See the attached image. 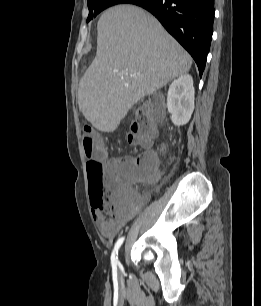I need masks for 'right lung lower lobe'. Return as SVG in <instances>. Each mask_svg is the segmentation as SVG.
Returning <instances> with one entry per match:
<instances>
[{
  "instance_id": "obj_1",
  "label": "right lung lower lobe",
  "mask_w": 261,
  "mask_h": 306,
  "mask_svg": "<svg viewBox=\"0 0 261 306\" xmlns=\"http://www.w3.org/2000/svg\"><path fill=\"white\" fill-rule=\"evenodd\" d=\"M151 12L190 53L202 75L214 21V0H134Z\"/></svg>"
}]
</instances>
